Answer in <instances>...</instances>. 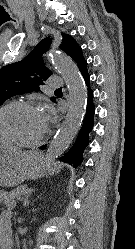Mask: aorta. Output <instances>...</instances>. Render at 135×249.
Instances as JSON below:
<instances>
[{"label": "aorta", "mask_w": 135, "mask_h": 249, "mask_svg": "<svg viewBox=\"0 0 135 249\" xmlns=\"http://www.w3.org/2000/svg\"><path fill=\"white\" fill-rule=\"evenodd\" d=\"M51 61L61 73L69 91V109L61 127L50 142L46 161L59 157L77 134L85 114L87 89L75 63L58 50L51 52Z\"/></svg>", "instance_id": "obj_1"}]
</instances>
